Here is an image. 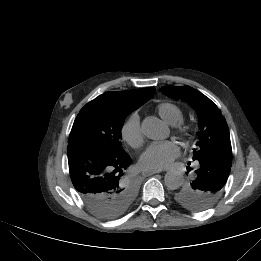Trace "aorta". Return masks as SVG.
Returning a JSON list of instances; mask_svg holds the SVG:
<instances>
[{"label":"aorta","mask_w":261,"mask_h":261,"mask_svg":"<svg viewBox=\"0 0 261 261\" xmlns=\"http://www.w3.org/2000/svg\"><path fill=\"white\" fill-rule=\"evenodd\" d=\"M143 134L152 140H158L165 137L167 129L161 120L155 117H148L142 122ZM182 174L177 170H170L165 174L164 181L168 188L177 189L182 185Z\"/></svg>","instance_id":"obj_1"}]
</instances>
